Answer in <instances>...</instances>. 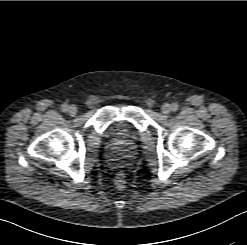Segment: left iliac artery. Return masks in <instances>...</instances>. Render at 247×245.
I'll return each instance as SVG.
<instances>
[{"label":"left iliac artery","instance_id":"obj_1","mask_svg":"<svg viewBox=\"0 0 247 245\" xmlns=\"http://www.w3.org/2000/svg\"><path fill=\"white\" fill-rule=\"evenodd\" d=\"M178 108H179V105L177 104V103H173L172 104V111H177L178 110Z\"/></svg>","mask_w":247,"mask_h":245}]
</instances>
